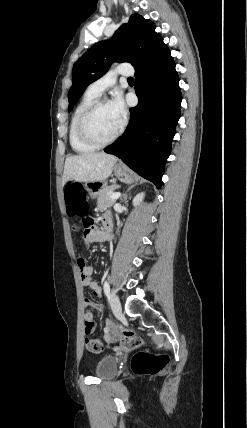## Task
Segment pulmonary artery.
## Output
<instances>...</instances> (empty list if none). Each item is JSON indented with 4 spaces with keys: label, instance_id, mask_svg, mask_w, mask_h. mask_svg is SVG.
<instances>
[{
    "label": "pulmonary artery",
    "instance_id": "1",
    "mask_svg": "<svg viewBox=\"0 0 247 428\" xmlns=\"http://www.w3.org/2000/svg\"><path fill=\"white\" fill-rule=\"evenodd\" d=\"M133 73L134 70L131 65L121 64L116 69L110 70L105 75L92 82L89 85L88 90L100 96L107 88L115 83L117 75L131 76Z\"/></svg>",
    "mask_w": 247,
    "mask_h": 428
}]
</instances>
